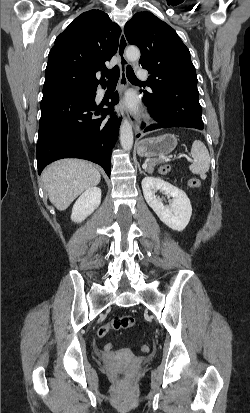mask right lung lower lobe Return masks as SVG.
I'll use <instances>...</instances> for the list:
<instances>
[{
	"instance_id": "98d812e1",
	"label": "right lung lower lobe",
	"mask_w": 250,
	"mask_h": 413,
	"mask_svg": "<svg viewBox=\"0 0 250 413\" xmlns=\"http://www.w3.org/2000/svg\"><path fill=\"white\" fill-rule=\"evenodd\" d=\"M95 97L96 89L42 98L36 148L39 174L55 160L82 158L99 164L110 176L111 151L121 123L111 107L119 97L113 94L106 104L109 108L97 106Z\"/></svg>"
}]
</instances>
